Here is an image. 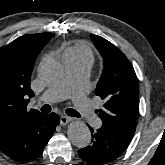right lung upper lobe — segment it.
I'll return each mask as SVG.
<instances>
[{
    "instance_id": "obj_1",
    "label": "right lung upper lobe",
    "mask_w": 165,
    "mask_h": 165,
    "mask_svg": "<svg viewBox=\"0 0 165 165\" xmlns=\"http://www.w3.org/2000/svg\"><path fill=\"white\" fill-rule=\"evenodd\" d=\"M52 36L27 34L0 48V135L42 114L27 110L28 98L34 96L30 79L38 54Z\"/></svg>"
}]
</instances>
